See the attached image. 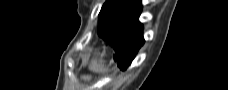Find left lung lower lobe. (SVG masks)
<instances>
[{
  "instance_id": "left-lung-lower-lobe-1",
  "label": "left lung lower lobe",
  "mask_w": 228,
  "mask_h": 90,
  "mask_svg": "<svg viewBox=\"0 0 228 90\" xmlns=\"http://www.w3.org/2000/svg\"><path fill=\"white\" fill-rule=\"evenodd\" d=\"M134 4H139L137 10L121 12L117 17V23L99 35L113 45L115 49L114 60L122 70L128 68L144 44L142 24L138 21L142 6L140 0H134Z\"/></svg>"
}]
</instances>
